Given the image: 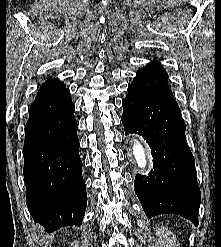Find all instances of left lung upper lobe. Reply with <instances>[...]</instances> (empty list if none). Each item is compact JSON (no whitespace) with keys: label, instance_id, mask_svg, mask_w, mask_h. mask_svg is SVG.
Returning <instances> with one entry per match:
<instances>
[{"label":"left lung upper lobe","instance_id":"left-lung-upper-lobe-1","mask_svg":"<svg viewBox=\"0 0 221 247\" xmlns=\"http://www.w3.org/2000/svg\"><path fill=\"white\" fill-rule=\"evenodd\" d=\"M167 81L168 75L165 69L159 62L153 60L138 70L131 85L134 86L135 90L143 94L169 104L177 105Z\"/></svg>","mask_w":221,"mask_h":247}]
</instances>
